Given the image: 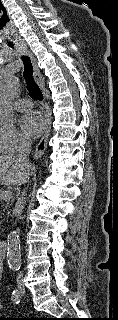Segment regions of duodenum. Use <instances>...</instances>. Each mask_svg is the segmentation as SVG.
Wrapping results in <instances>:
<instances>
[{"label":"duodenum","mask_w":118,"mask_h":320,"mask_svg":"<svg viewBox=\"0 0 118 320\" xmlns=\"http://www.w3.org/2000/svg\"><path fill=\"white\" fill-rule=\"evenodd\" d=\"M8 244L6 241H0V261L6 258Z\"/></svg>","instance_id":"duodenum-1"}]
</instances>
